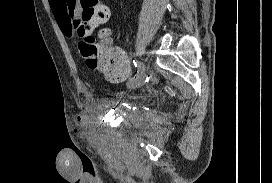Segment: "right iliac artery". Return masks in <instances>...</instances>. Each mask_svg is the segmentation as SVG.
Instances as JSON below:
<instances>
[{
    "label": "right iliac artery",
    "mask_w": 272,
    "mask_h": 183,
    "mask_svg": "<svg viewBox=\"0 0 272 183\" xmlns=\"http://www.w3.org/2000/svg\"><path fill=\"white\" fill-rule=\"evenodd\" d=\"M136 70H133L132 76L129 77L130 81H137L138 78H141V75H143V69L145 68L144 64L142 62H134Z\"/></svg>",
    "instance_id": "obj_1"
}]
</instances>
